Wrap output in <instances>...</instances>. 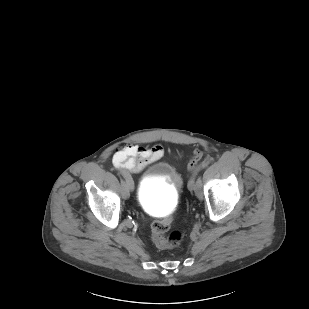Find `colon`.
<instances>
[{"instance_id":"5ec220e1","label":"colon","mask_w":309,"mask_h":309,"mask_svg":"<svg viewBox=\"0 0 309 309\" xmlns=\"http://www.w3.org/2000/svg\"><path fill=\"white\" fill-rule=\"evenodd\" d=\"M202 156V150L197 149L194 151V154L187 165L188 172L191 175L198 169ZM171 222L172 218L169 216L154 221L151 225V238L159 249H172L178 247L182 242L183 234L181 231L173 230L167 234L170 229Z\"/></svg>"}]
</instances>
